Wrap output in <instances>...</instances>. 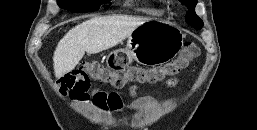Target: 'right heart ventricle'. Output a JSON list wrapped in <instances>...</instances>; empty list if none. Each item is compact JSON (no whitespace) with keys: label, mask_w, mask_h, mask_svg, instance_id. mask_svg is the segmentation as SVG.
Wrapping results in <instances>:
<instances>
[{"label":"right heart ventricle","mask_w":257,"mask_h":130,"mask_svg":"<svg viewBox=\"0 0 257 130\" xmlns=\"http://www.w3.org/2000/svg\"><path fill=\"white\" fill-rule=\"evenodd\" d=\"M147 12L150 14H157L159 12V9L157 8L156 5H151L150 7H148Z\"/></svg>","instance_id":"e07e8e85"}]
</instances>
